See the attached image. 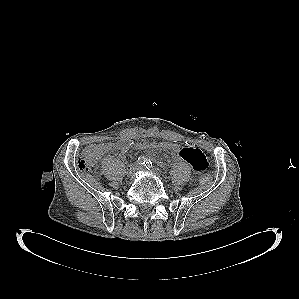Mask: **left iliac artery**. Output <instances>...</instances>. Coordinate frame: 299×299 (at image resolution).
Wrapping results in <instances>:
<instances>
[{
	"mask_svg": "<svg viewBox=\"0 0 299 299\" xmlns=\"http://www.w3.org/2000/svg\"><path fill=\"white\" fill-rule=\"evenodd\" d=\"M147 169H150L152 167V162L150 160H148L145 164Z\"/></svg>",
	"mask_w": 299,
	"mask_h": 299,
	"instance_id": "left-iliac-artery-1",
	"label": "left iliac artery"
}]
</instances>
